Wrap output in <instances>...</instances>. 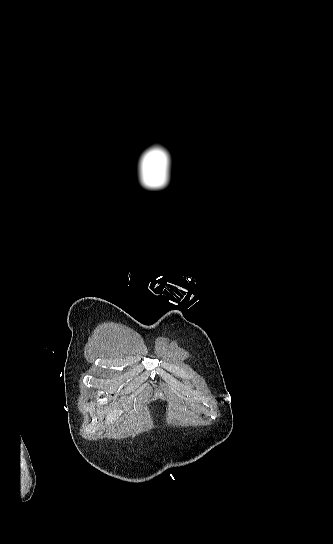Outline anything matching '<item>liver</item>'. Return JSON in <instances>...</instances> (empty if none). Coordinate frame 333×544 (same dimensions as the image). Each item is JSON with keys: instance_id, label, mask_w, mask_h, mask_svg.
Listing matches in <instances>:
<instances>
[{"instance_id": "obj_1", "label": "liver", "mask_w": 333, "mask_h": 544, "mask_svg": "<svg viewBox=\"0 0 333 544\" xmlns=\"http://www.w3.org/2000/svg\"><path fill=\"white\" fill-rule=\"evenodd\" d=\"M122 413H123L122 410H114V411L110 412L106 417V423L107 424L114 423L116 420L119 419V417L121 416Z\"/></svg>"}]
</instances>
